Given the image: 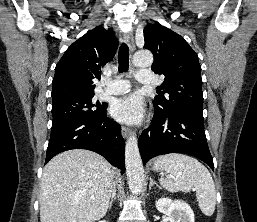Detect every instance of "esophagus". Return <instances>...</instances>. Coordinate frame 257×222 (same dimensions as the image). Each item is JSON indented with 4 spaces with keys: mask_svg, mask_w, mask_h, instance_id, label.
Masks as SVG:
<instances>
[{
    "mask_svg": "<svg viewBox=\"0 0 257 222\" xmlns=\"http://www.w3.org/2000/svg\"><path fill=\"white\" fill-rule=\"evenodd\" d=\"M124 39H125V42L127 43V45L129 46L131 52H133L135 50V42H134V37H133L132 32L125 33ZM121 133H122L123 137H127L131 133V131L128 127L123 126L121 128Z\"/></svg>",
    "mask_w": 257,
    "mask_h": 222,
    "instance_id": "34e87169",
    "label": "esophagus"
}]
</instances>
